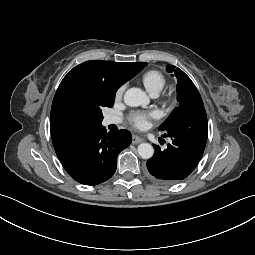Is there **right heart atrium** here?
I'll return each instance as SVG.
<instances>
[{
  "label": "right heart atrium",
  "mask_w": 255,
  "mask_h": 255,
  "mask_svg": "<svg viewBox=\"0 0 255 255\" xmlns=\"http://www.w3.org/2000/svg\"><path fill=\"white\" fill-rule=\"evenodd\" d=\"M124 90H125V85H122V86H120V87L117 89V91H116V93H115V98H116L117 100H119V99L122 98L123 93H124Z\"/></svg>",
  "instance_id": "d8ad5b80"
}]
</instances>
